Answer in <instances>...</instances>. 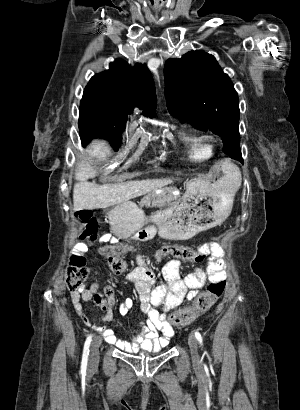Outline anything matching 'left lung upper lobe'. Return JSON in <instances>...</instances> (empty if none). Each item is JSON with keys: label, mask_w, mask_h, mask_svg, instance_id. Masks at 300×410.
I'll return each mask as SVG.
<instances>
[{"label": "left lung upper lobe", "mask_w": 300, "mask_h": 410, "mask_svg": "<svg viewBox=\"0 0 300 410\" xmlns=\"http://www.w3.org/2000/svg\"><path fill=\"white\" fill-rule=\"evenodd\" d=\"M165 96L170 113L190 119L202 131L224 140L223 151L243 162L239 135V99L234 85L214 56L191 51L164 66Z\"/></svg>", "instance_id": "left-lung-upper-lobe-1"}]
</instances>
